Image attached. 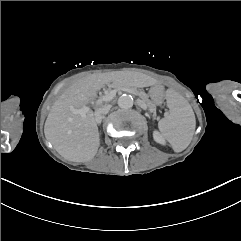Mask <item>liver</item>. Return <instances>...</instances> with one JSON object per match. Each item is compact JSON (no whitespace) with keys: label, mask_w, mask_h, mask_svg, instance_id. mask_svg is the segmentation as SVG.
I'll use <instances>...</instances> for the list:
<instances>
[{"label":"liver","mask_w":241,"mask_h":241,"mask_svg":"<svg viewBox=\"0 0 241 241\" xmlns=\"http://www.w3.org/2000/svg\"><path fill=\"white\" fill-rule=\"evenodd\" d=\"M122 79L121 74L114 72L91 74L76 81L55 101L44 134L62 157L73 162H88L95 157L100 137L94 113L90 110L83 118L72 109L86 107L96 97L97 90L120 84Z\"/></svg>","instance_id":"liver-1"}]
</instances>
